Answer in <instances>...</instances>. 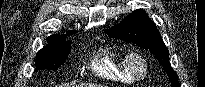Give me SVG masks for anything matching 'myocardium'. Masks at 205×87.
I'll list each match as a JSON object with an SVG mask.
<instances>
[{
    "label": "myocardium",
    "mask_w": 205,
    "mask_h": 87,
    "mask_svg": "<svg viewBox=\"0 0 205 87\" xmlns=\"http://www.w3.org/2000/svg\"><path fill=\"white\" fill-rule=\"evenodd\" d=\"M125 65L128 72L135 79H143L149 72V61L147 57L138 51L129 52L125 56Z\"/></svg>",
    "instance_id": "1"
}]
</instances>
